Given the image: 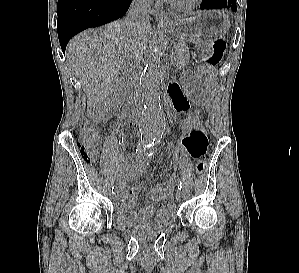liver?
Wrapping results in <instances>:
<instances>
[{
	"label": "liver",
	"instance_id": "liver-1",
	"mask_svg": "<svg viewBox=\"0 0 299 273\" xmlns=\"http://www.w3.org/2000/svg\"><path fill=\"white\" fill-rule=\"evenodd\" d=\"M152 39L150 24L134 28L124 19L84 31L69 42L66 59L87 96L89 109L106 99L121 71L134 56L143 55Z\"/></svg>",
	"mask_w": 299,
	"mask_h": 273
}]
</instances>
